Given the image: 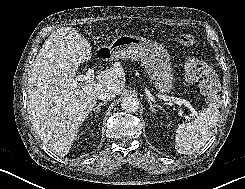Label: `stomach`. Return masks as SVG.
Wrapping results in <instances>:
<instances>
[{"instance_id": "obj_1", "label": "stomach", "mask_w": 245, "mask_h": 189, "mask_svg": "<svg viewBox=\"0 0 245 189\" xmlns=\"http://www.w3.org/2000/svg\"><path fill=\"white\" fill-rule=\"evenodd\" d=\"M98 50H107L115 60H141L146 73L161 93H168L174 87L175 78L170 55L167 49L156 41L140 36L120 35L110 46H103Z\"/></svg>"}]
</instances>
